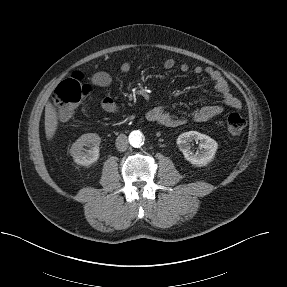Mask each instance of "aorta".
Returning <instances> with one entry per match:
<instances>
[{
  "mask_svg": "<svg viewBox=\"0 0 287 287\" xmlns=\"http://www.w3.org/2000/svg\"><path fill=\"white\" fill-rule=\"evenodd\" d=\"M129 142L133 147H139L143 142V135L140 131H133L129 135Z\"/></svg>",
  "mask_w": 287,
  "mask_h": 287,
  "instance_id": "obj_1",
  "label": "aorta"
}]
</instances>
